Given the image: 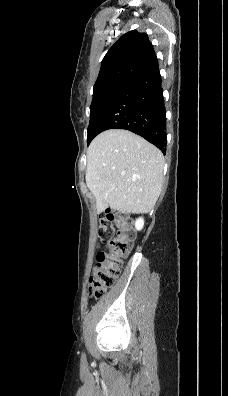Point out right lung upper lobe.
Here are the masks:
<instances>
[{"instance_id":"obj_1","label":"right lung upper lobe","mask_w":228,"mask_h":396,"mask_svg":"<svg viewBox=\"0 0 228 396\" xmlns=\"http://www.w3.org/2000/svg\"><path fill=\"white\" fill-rule=\"evenodd\" d=\"M157 61L147 34H124L107 52L94 88L109 83L130 84Z\"/></svg>"}]
</instances>
